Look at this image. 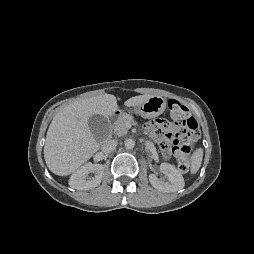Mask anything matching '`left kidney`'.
Returning <instances> with one entry per match:
<instances>
[{
	"label": "left kidney",
	"mask_w": 254,
	"mask_h": 254,
	"mask_svg": "<svg viewBox=\"0 0 254 254\" xmlns=\"http://www.w3.org/2000/svg\"><path fill=\"white\" fill-rule=\"evenodd\" d=\"M160 169L165 174L167 181L157 178L155 174H150L149 181L154 188L162 192H176L184 187L183 176L175 166L162 163Z\"/></svg>",
	"instance_id": "left-kidney-1"
}]
</instances>
